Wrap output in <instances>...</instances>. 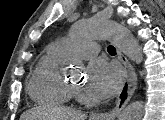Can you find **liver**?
Returning a JSON list of instances; mask_svg holds the SVG:
<instances>
[{"instance_id": "6515ba94", "label": "liver", "mask_w": 165, "mask_h": 120, "mask_svg": "<svg viewBox=\"0 0 165 120\" xmlns=\"http://www.w3.org/2000/svg\"><path fill=\"white\" fill-rule=\"evenodd\" d=\"M85 114L80 111L69 108H51L47 110L45 108L36 107L24 112L20 119L21 120H36V119H46V120H85Z\"/></svg>"}]
</instances>
